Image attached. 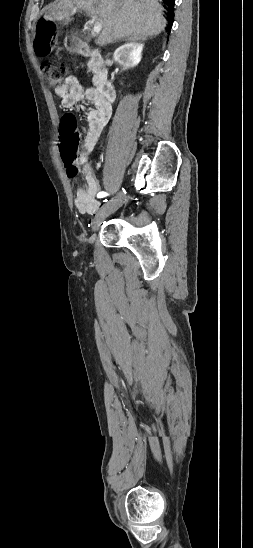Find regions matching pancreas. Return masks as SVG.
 Returning <instances> with one entry per match:
<instances>
[{"label":"pancreas","mask_w":253,"mask_h":548,"mask_svg":"<svg viewBox=\"0 0 253 548\" xmlns=\"http://www.w3.org/2000/svg\"><path fill=\"white\" fill-rule=\"evenodd\" d=\"M87 66L89 71H91L94 74L93 82H95L98 78L99 68L94 61L88 62Z\"/></svg>","instance_id":"1"}]
</instances>
